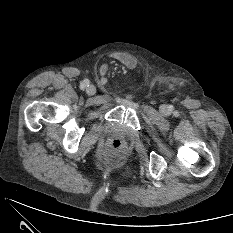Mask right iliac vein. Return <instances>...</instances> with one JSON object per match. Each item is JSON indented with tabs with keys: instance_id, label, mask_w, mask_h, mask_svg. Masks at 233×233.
Here are the masks:
<instances>
[{
	"instance_id": "right-iliac-vein-1",
	"label": "right iliac vein",
	"mask_w": 233,
	"mask_h": 233,
	"mask_svg": "<svg viewBox=\"0 0 233 233\" xmlns=\"http://www.w3.org/2000/svg\"><path fill=\"white\" fill-rule=\"evenodd\" d=\"M86 92L89 95H94L96 93V87L94 85H88L86 88Z\"/></svg>"
}]
</instances>
